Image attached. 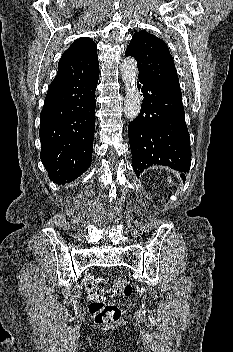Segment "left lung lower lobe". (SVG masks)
Returning <instances> with one entry per match:
<instances>
[{
  "mask_svg": "<svg viewBox=\"0 0 233 352\" xmlns=\"http://www.w3.org/2000/svg\"><path fill=\"white\" fill-rule=\"evenodd\" d=\"M137 86L143 93L142 107L128 126L135 174L153 165L188 172L191 148L182 97L141 76ZM181 178L185 180V175Z\"/></svg>",
  "mask_w": 233,
  "mask_h": 352,
  "instance_id": "0a47b994",
  "label": "left lung lower lobe"
}]
</instances>
